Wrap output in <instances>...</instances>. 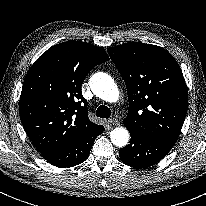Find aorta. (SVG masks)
Returning <instances> with one entry per match:
<instances>
[{"label": "aorta", "mask_w": 206, "mask_h": 206, "mask_svg": "<svg viewBox=\"0 0 206 206\" xmlns=\"http://www.w3.org/2000/svg\"><path fill=\"white\" fill-rule=\"evenodd\" d=\"M90 87L94 94L106 102H116L119 99V90L112 79L106 73H96L90 79ZM111 142L117 147H124L129 140V132L124 127H117L110 134Z\"/></svg>", "instance_id": "1"}]
</instances>
